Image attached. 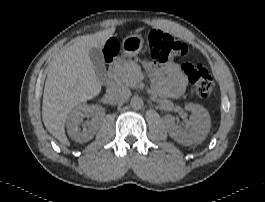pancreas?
<instances>
[{
  "label": "pancreas",
  "mask_w": 265,
  "mask_h": 202,
  "mask_svg": "<svg viewBox=\"0 0 265 202\" xmlns=\"http://www.w3.org/2000/svg\"><path fill=\"white\" fill-rule=\"evenodd\" d=\"M114 75L120 83L134 88L141 75L140 66L134 61L118 63L114 67Z\"/></svg>",
  "instance_id": "obj_1"
}]
</instances>
